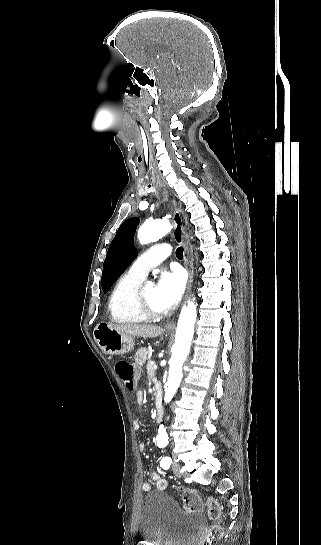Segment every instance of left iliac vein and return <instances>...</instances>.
<instances>
[{
	"mask_svg": "<svg viewBox=\"0 0 321 545\" xmlns=\"http://www.w3.org/2000/svg\"><path fill=\"white\" fill-rule=\"evenodd\" d=\"M172 470L176 477H181L180 465L177 462H173Z\"/></svg>",
	"mask_w": 321,
	"mask_h": 545,
	"instance_id": "1",
	"label": "left iliac vein"
}]
</instances>
